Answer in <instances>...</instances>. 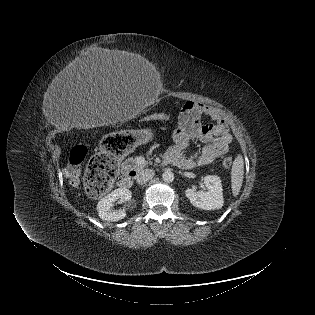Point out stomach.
I'll use <instances>...</instances> for the list:
<instances>
[{
  "instance_id": "obj_1",
  "label": "stomach",
  "mask_w": 315,
  "mask_h": 315,
  "mask_svg": "<svg viewBox=\"0 0 315 315\" xmlns=\"http://www.w3.org/2000/svg\"><path fill=\"white\" fill-rule=\"evenodd\" d=\"M155 130L151 127L138 131L125 130L106 137L102 143L104 154L110 158H125L136 152L140 145L152 141Z\"/></svg>"
}]
</instances>
